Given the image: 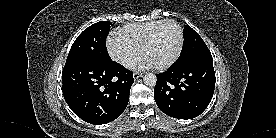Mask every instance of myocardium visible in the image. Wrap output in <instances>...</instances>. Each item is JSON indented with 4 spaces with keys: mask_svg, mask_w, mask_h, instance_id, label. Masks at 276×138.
Returning a JSON list of instances; mask_svg holds the SVG:
<instances>
[{
    "mask_svg": "<svg viewBox=\"0 0 276 138\" xmlns=\"http://www.w3.org/2000/svg\"><path fill=\"white\" fill-rule=\"evenodd\" d=\"M165 24H173L178 29L179 36H180V41H179V46L177 48V51H176L174 57L170 61H168L167 63L162 64L160 66H157V68L160 69V70L168 69L169 67H171L173 64L176 63V61L179 59V57L182 53V50H183V47H184V42H185L184 30H183L182 26L177 21H175L173 19L162 20L158 25H156L152 29V31L150 32V34L148 35V37L146 38V40L142 44V46H141L142 54H144L145 50L154 41L159 29Z\"/></svg>",
    "mask_w": 276,
    "mask_h": 138,
    "instance_id": "1",
    "label": "myocardium"
}]
</instances>
